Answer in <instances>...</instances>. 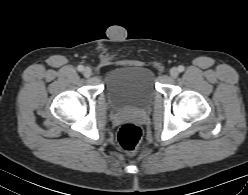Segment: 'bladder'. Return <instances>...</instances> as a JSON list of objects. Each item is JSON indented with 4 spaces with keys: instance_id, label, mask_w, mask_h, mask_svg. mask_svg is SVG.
<instances>
[{
    "instance_id": "1",
    "label": "bladder",
    "mask_w": 248,
    "mask_h": 195,
    "mask_svg": "<svg viewBox=\"0 0 248 195\" xmlns=\"http://www.w3.org/2000/svg\"><path fill=\"white\" fill-rule=\"evenodd\" d=\"M104 88L116 111L139 110L153 98L155 74L145 66H118L108 72Z\"/></svg>"
}]
</instances>
